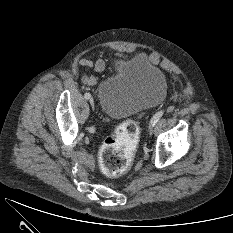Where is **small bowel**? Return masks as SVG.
Masks as SVG:
<instances>
[{"instance_id": "obj_1", "label": "small bowel", "mask_w": 233, "mask_h": 233, "mask_svg": "<svg viewBox=\"0 0 233 233\" xmlns=\"http://www.w3.org/2000/svg\"><path fill=\"white\" fill-rule=\"evenodd\" d=\"M79 63L86 68L94 69L98 73L103 72L105 69V62L102 59H98L95 62L87 59H81ZM82 81L88 86H93L96 82V78L92 75H84Z\"/></svg>"}]
</instances>
